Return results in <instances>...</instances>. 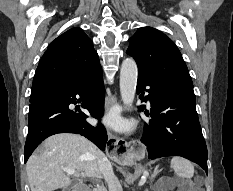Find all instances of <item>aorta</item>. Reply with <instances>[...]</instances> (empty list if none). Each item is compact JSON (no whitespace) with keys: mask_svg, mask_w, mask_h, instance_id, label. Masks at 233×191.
I'll return each mask as SVG.
<instances>
[{"mask_svg":"<svg viewBox=\"0 0 233 191\" xmlns=\"http://www.w3.org/2000/svg\"><path fill=\"white\" fill-rule=\"evenodd\" d=\"M137 77L138 68L134 59H124L120 69V93L121 99L126 106H130L134 101Z\"/></svg>","mask_w":233,"mask_h":191,"instance_id":"1","label":"aorta"}]
</instances>
